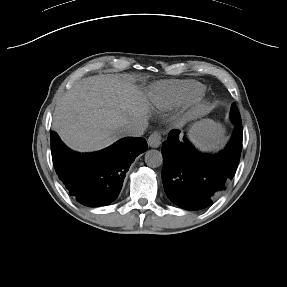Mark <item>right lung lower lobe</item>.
<instances>
[{
    "mask_svg": "<svg viewBox=\"0 0 287 287\" xmlns=\"http://www.w3.org/2000/svg\"><path fill=\"white\" fill-rule=\"evenodd\" d=\"M50 138L60 180L78 202L90 207L108 205L118 197L130 164L148 147L144 138L128 137L102 151L81 154L67 148L57 133L51 132Z\"/></svg>",
    "mask_w": 287,
    "mask_h": 287,
    "instance_id": "98d812e1",
    "label": "right lung lower lobe"
}]
</instances>
